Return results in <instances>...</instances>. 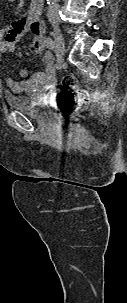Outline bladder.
<instances>
[{
    "instance_id": "obj_1",
    "label": "bladder",
    "mask_w": 127,
    "mask_h": 303,
    "mask_svg": "<svg viewBox=\"0 0 127 303\" xmlns=\"http://www.w3.org/2000/svg\"><path fill=\"white\" fill-rule=\"evenodd\" d=\"M6 103L10 109L20 111L35 120H45L49 115L45 110L46 104L33 92L22 95L7 94Z\"/></svg>"
}]
</instances>
